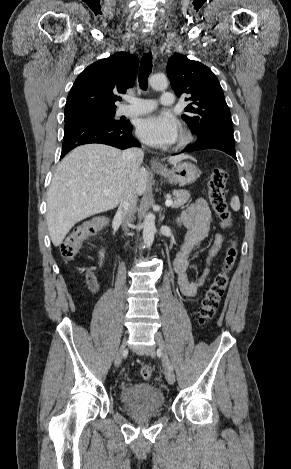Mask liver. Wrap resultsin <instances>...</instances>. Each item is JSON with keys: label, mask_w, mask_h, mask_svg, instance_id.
<instances>
[{"label": "liver", "mask_w": 291, "mask_h": 469, "mask_svg": "<svg viewBox=\"0 0 291 469\" xmlns=\"http://www.w3.org/2000/svg\"><path fill=\"white\" fill-rule=\"evenodd\" d=\"M120 150L103 144H87L72 150L59 164L50 184L46 220L54 246H60L78 222L116 208L126 186L142 195L148 183V171L140 166L134 180L122 160ZM189 158L177 155L168 158L177 164ZM110 190L109 195H103Z\"/></svg>", "instance_id": "6515ba94"}]
</instances>
